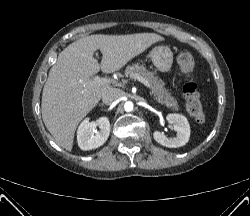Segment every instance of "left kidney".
<instances>
[{"label":"left kidney","mask_w":250,"mask_h":216,"mask_svg":"<svg viewBox=\"0 0 250 216\" xmlns=\"http://www.w3.org/2000/svg\"><path fill=\"white\" fill-rule=\"evenodd\" d=\"M166 120L172 125L176 131V137L168 138L159 131H154V139L161 145L169 148H177L184 146L190 137V126L185 116L180 114H168Z\"/></svg>","instance_id":"5707ae66"}]
</instances>
